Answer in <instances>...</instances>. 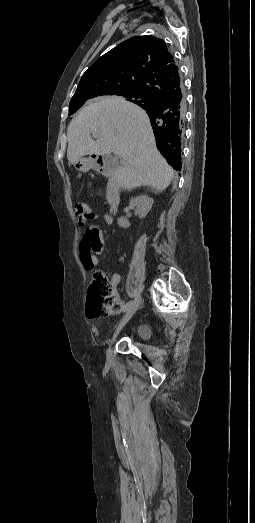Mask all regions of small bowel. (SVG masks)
Wrapping results in <instances>:
<instances>
[{"instance_id":"obj_1","label":"small bowel","mask_w":255,"mask_h":523,"mask_svg":"<svg viewBox=\"0 0 255 523\" xmlns=\"http://www.w3.org/2000/svg\"><path fill=\"white\" fill-rule=\"evenodd\" d=\"M93 219L102 220L106 224H111V219L108 215H94ZM103 251V239L100 229L95 225H89L82 236L79 256L80 261L84 267L91 271L99 263V255ZM121 276L118 273H114L111 276L112 285L116 286L120 283Z\"/></svg>"}]
</instances>
